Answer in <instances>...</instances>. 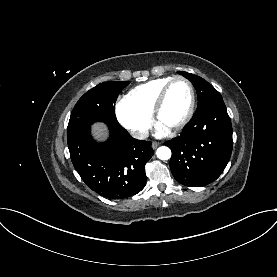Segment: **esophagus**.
Masks as SVG:
<instances>
[{"mask_svg": "<svg viewBox=\"0 0 277 277\" xmlns=\"http://www.w3.org/2000/svg\"><path fill=\"white\" fill-rule=\"evenodd\" d=\"M159 145H160V142L154 141V142L152 143V148H153V149H156Z\"/></svg>", "mask_w": 277, "mask_h": 277, "instance_id": "1", "label": "esophagus"}]
</instances>
